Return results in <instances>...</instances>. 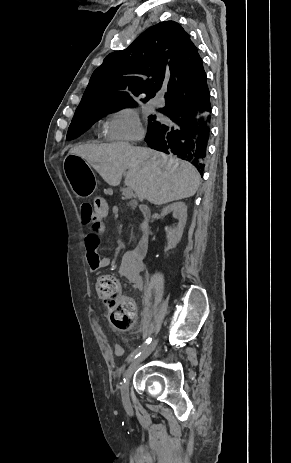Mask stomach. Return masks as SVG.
I'll return each mask as SVG.
<instances>
[{
  "instance_id": "1",
  "label": "stomach",
  "mask_w": 291,
  "mask_h": 463,
  "mask_svg": "<svg viewBox=\"0 0 291 463\" xmlns=\"http://www.w3.org/2000/svg\"><path fill=\"white\" fill-rule=\"evenodd\" d=\"M74 156L69 154L65 159L66 177L74 194L79 198H87L95 190L96 179L88 162Z\"/></svg>"
}]
</instances>
